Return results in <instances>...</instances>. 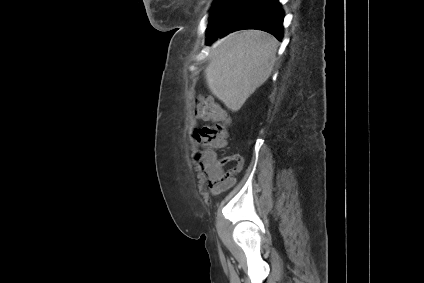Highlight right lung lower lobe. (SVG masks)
<instances>
[{"instance_id":"obj_1","label":"right lung lower lobe","mask_w":424,"mask_h":283,"mask_svg":"<svg viewBox=\"0 0 424 283\" xmlns=\"http://www.w3.org/2000/svg\"><path fill=\"white\" fill-rule=\"evenodd\" d=\"M283 18L284 12L278 0H228L209 22L206 43L242 29L263 30L281 41Z\"/></svg>"}]
</instances>
